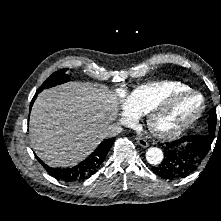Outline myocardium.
<instances>
[{
    "instance_id": "myocardium-1",
    "label": "myocardium",
    "mask_w": 221,
    "mask_h": 221,
    "mask_svg": "<svg viewBox=\"0 0 221 221\" xmlns=\"http://www.w3.org/2000/svg\"><path fill=\"white\" fill-rule=\"evenodd\" d=\"M189 97H198L200 99L199 106L185 120L173 127H162L159 125L161 116L176 104L182 102ZM205 109V99L199 92L188 90L170 95L153 104L146 113V124L149 131L156 137L170 140L179 137L191 126H193L201 117Z\"/></svg>"
}]
</instances>
